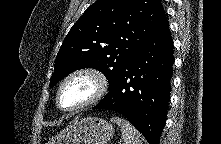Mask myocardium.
I'll list each match as a JSON object with an SVG mask.
<instances>
[{
    "mask_svg": "<svg viewBox=\"0 0 221 144\" xmlns=\"http://www.w3.org/2000/svg\"><path fill=\"white\" fill-rule=\"evenodd\" d=\"M80 76L90 77L94 81L95 91H94L93 95L89 99H87L86 101H84L76 106H73L70 108L62 107L60 104V96H61L64 86L72 79H74L76 77H80ZM107 91H108V79L102 71H100L99 69L94 68V67L79 68V69L74 70L70 74H68L59 84V87H58L57 93H56V105L60 110H62L64 112H75V111L84 109L86 107H89V106L97 103L106 95Z\"/></svg>",
    "mask_w": 221,
    "mask_h": 144,
    "instance_id": "myocardium-1",
    "label": "myocardium"
}]
</instances>
